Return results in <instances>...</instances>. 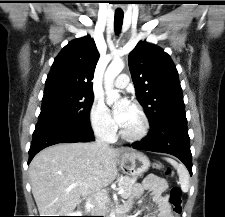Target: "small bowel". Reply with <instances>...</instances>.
I'll list each match as a JSON object with an SVG mask.
<instances>
[{
	"mask_svg": "<svg viewBox=\"0 0 225 217\" xmlns=\"http://www.w3.org/2000/svg\"><path fill=\"white\" fill-rule=\"evenodd\" d=\"M165 190V181L156 175L150 174L142 183L135 186L133 197L129 199L127 206L131 208L144 192H149L152 197V203L145 207L147 211L146 217H177L163 195Z\"/></svg>",
	"mask_w": 225,
	"mask_h": 217,
	"instance_id": "c3829d8e",
	"label": "small bowel"
}]
</instances>
